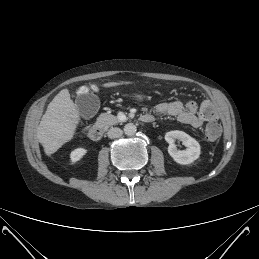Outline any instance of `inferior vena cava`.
<instances>
[{
	"label": "inferior vena cava",
	"mask_w": 259,
	"mask_h": 259,
	"mask_svg": "<svg viewBox=\"0 0 259 259\" xmlns=\"http://www.w3.org/2000/svg\"><path fill=\"white\" fill-rule=\"evenodd\" d=\"M108 137L111 139L120 138L123 134V131L120 128H111L108 131Z\"/></svg>",
	"instance_id": "1"
}]
</instances>
